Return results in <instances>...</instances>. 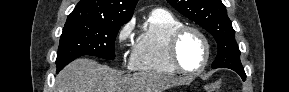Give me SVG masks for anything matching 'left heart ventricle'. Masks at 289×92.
Masks as SVG:
<instances>
[{"instance_id": "obj_1", "label": "left heart ventricle", "mask_w": 289, "mask_h": 92, "mask_svg": "<svg viewBox=\"0 0 289 92\" xmlns=\"http://www.w3.org/2000/svg\"><path fill=\"white\" fill-rule=\"evenodd\" d=\"M179 60L187 70L198 69L204 60L205 48L202 40L194 33H187L180 41Z\"/></svg>"}]
</instances>
